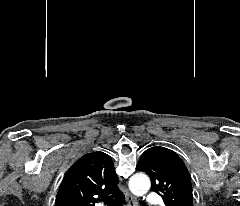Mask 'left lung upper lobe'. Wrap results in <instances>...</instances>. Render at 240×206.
Instances as JSON below:
<instances>
[{
	"mask_svg": "<svg viewBox=\"0 0 240 206\" xmlns=\"http://www.w3.org/2000/svg\"><path fill=\"white\" fill-rule=\"evenodd\" d=\"M136 169L150 176L152 191L160 193L166 206H193L190 174L172 150L161 146L147 149Z\"/></svg>",
	"mask_w": 240,
	"mask_h": 206,
	"instance_id": "1",
	"label": "left lung upper lobe"
}]
</instances>
